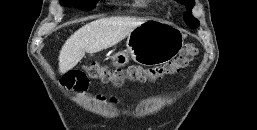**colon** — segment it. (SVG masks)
<instances>
[{"mask_svg": "<svg viewBox=\"0 0 257 130\" xmlns=\"http://www.w3.org/2000/svg\"><path fill=\"white\" fill-rule=\"evenodd\" d=\"M197 55L194 45H186L171 61L153 67L130 66L125 71L110 70L98 63H90L81 69L71 71L63 76L61 85L69 90L83 93L89 86L90 79L121 86L126 80L135 82H154L167 75H173L185 68Z\"/></svg>", "mask_w": 257, "mask_h": 130, "instance_id": "5ec220e1", "label": "colon"}]
</instances>
